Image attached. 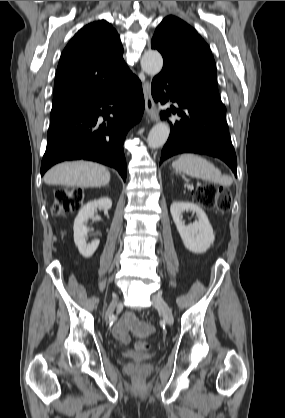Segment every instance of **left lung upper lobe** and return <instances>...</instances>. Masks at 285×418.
<instances>
[{"mask_svg": "<svg viewBox=\"0 0 285 418\" xmlns=\"http://www.w3.org/2000/svg\"><path fill=\"white\" fill-rule=\"evenodd\" d=\"M151 48L170 68L200 90L219 97L216 64L207 43L194 28L175 16H167L156 28Z\"/></svg>", "mask_w": 285, "mask_h": 418, "instance_id": "left-lung-upper-lobe-1", "label": "left lung upper lobe"}]
</instances>
